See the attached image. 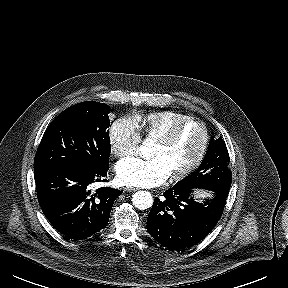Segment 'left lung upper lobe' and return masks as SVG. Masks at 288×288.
Segmentation results:
<instances>
[{"instance_id": "obj_1", "label": "left lung upper lobe", "mask_w": 288, "mask_h": 288, "mask_svg": "<svg viewBox=\"0 0 288 288\" xmlns=\"http://www.w3.org/2000/svg\"><path fill=\"white\" fill-rule=\"evenodd\" d=\"M228 162L229 154L223 139H211L199 168L176 184L202 187L228 196L232 182V173L228 168ZM209 169H212L211 172L205 174Z\"/></svg>"}]
</instances>
